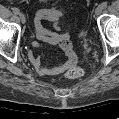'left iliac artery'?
Returning a JSON list of instances; mask_svg holds the SVG:
<instances>
[{"instance_id":"44dca946","label":"left iliac artery","mask_w":119,"mask_h":119,"mask_svg":"<svg viewBox=\"0 0 119 119\" xmlns=\"http://www.w3.org/2000/svg\"><path fill=\"white\" fill-rule=\"evenodd\" d=\"M101 6H102L103 8H106V7H107V2H103V3L101 4Z\"/></svg>"}]
</instances>
